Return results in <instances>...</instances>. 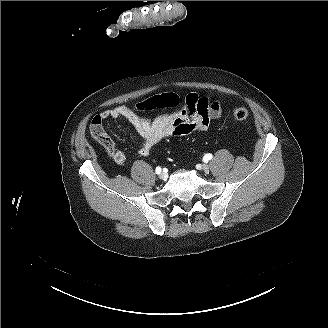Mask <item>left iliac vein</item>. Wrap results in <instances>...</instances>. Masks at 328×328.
Returning a JSON list of instances; mask_svg holds the SVG:
<instances>
[{"instance_id": "1", "label": "left iliac vein", "mask_w": 328, "mask_h": 328, "mask_svg": "<svg viewBox=\"0 0 328 328\" xmlns=\"http://www.w3.org/2000/svg\"><path fill=\"white\" fill-rule=\"evenodd\" d=\"M201 169H202V171L205 172V173H208V172L210 171V168H209V166H208L207 164H203V165L201 166Z\"/></svg>"}]
</instances>
